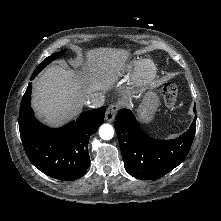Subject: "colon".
I'll list each match as a JSON object with an SVG mask.
<instances>
[{
  "label": "colon",
  "mask_w": 221,
  "mask_h": 221,
  "mask_svg": "<svg viewBox=\"0 0 221 221\" xmlns=\"http://www.w3.org/2000/svg\"><path fill=\"white\" fill-rule=\"evenodd\" d=\"M178 95V86L174 81L167 82L163 87V96L165 105L168 109H173L176 106Z\"/></svg>",
  "instance_id": "obj_1"
}]
</instances>
